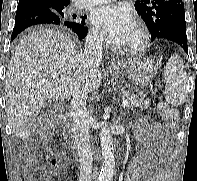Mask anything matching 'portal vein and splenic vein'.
<instances>
[{
	"label": "portal vein and splenic vein",
	"instance_id": "portal-vein-and-splenic-vein-1",
	"mask_svg": "<svg viewBox=\"0 0 197 181\" xmlns=\"http://www.w3.org/2000/svg\"><path fill=\"white\" fill-rule=\"evenodd\" d=\"M58 75H59V73H53L52 74L53 77H57ZM129 104H130L129 101H123L122 102V107H127V106H129Z\"/></svg>",
	"mask_w": 197,
	"mask_h": 181
}]
</instances>
